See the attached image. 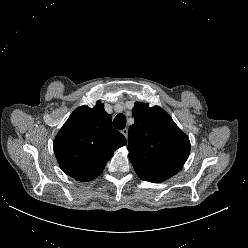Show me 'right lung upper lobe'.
Segmentation results:
<instances>
[{
  "label": "right lung upper lobe",
  "mask_w": 248,
  "mask_h": 248,
  "mask_svg": "<svg viewBox=\"0 0 248 248\" xmlns=\"http://www.w3.org/2000/svg\"><path fill=\"white\" fill-rule=\"evenodd\" d=\"M112 117L100 101L93 108H77L56 135L53 148L61 169L82 182L99 176L113 152L126 145L112 128Z\"/></svg>",
  "instance_id": "1"
}]
</instances>
